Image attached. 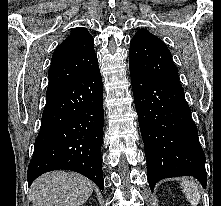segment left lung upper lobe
I'll list each match as a JSON object with an SVG mask.
<instances>
[{"label": "left lung upper lobe", "mask_w": 221, "mask_h": 206, "mask_svg": "<svg viewBox=\"0 0 221 206\" xmlns=\"http://www.w3.org/2000/svg\"><path fill=\"white\" fill-rule=\"evenodd\" d=\"M130 73L181 86L178 70L165 43L146 29L136 32L129 49Z\"/></svg>", "instance_id": "obj_1"}]
</instances>
